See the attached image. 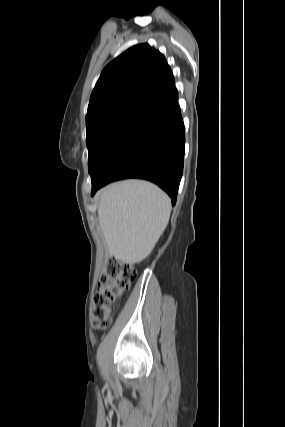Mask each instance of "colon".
Segmentation results:
<instances>
[{
	"mask_svg": "<svg viewBox=\"0 0 285 427\" xmlns=\"http://www.w3.org/2000/svg\"><path fill=\"white\" fill-rule=\"evenodd\" d=\"M135 270L127 263L112 259L104 266L92 300V326L107 329L112 322L113 304L130 287Z\"/></svg>",
	"mask_w": 285,
	"mask_h": 427,
	"instance_id": "colon-1",
	"label": "colon"
}]
</instances>
